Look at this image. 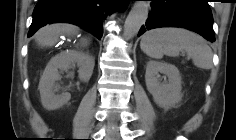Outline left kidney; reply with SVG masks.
<instances>
[{"label": "left kidney", "mask_w": 236, "mask_h": 140, "mask_svg": "<svg viewBox=\"0 0 236 140\" xmlns=\"http://www.w3.org/2000/svg\"><path fill=\"white\" fill-rule=\"evenodd\" d=\"M159 73L166 75L168 82L160 83L158 81ZM145 81L147 90L152 94L154 102L159 107H173L181 101V75L175 65L149 61L146 67Z\"/></svg>", "instance_id": "obj_1"}]
</instances>
